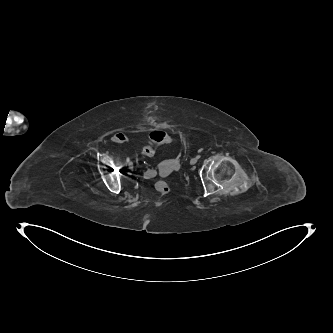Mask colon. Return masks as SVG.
Returning <instances> with one entry per match:
<instances>
[{
  "label": "colon",
  "instance_id": "obj_1",
  "mask_svg": "<svg viewBox=\"0 0 333 333\" xmlns=\"http://www.w3.org/2000/svg\"><path fill=\"white\" fill-rule=\"evenodd\" d=\"M172 141H174V137L171 136L170 134H168L167 132L160 131V130L153 131L150 134L149 142L143 148L142 153L144 156L150 158V157L154 156L156 149L159 146H161L163 144L171 143ZM149 172L152 176H155L158 174L157 170H155V169H150ZM155 190L157 191V193L160 196H165L170 192V186L166 181L159 180L155 184Z\"/></svg>",
  "mask_w": 333,
  "mask_h": 333
}]
</instances>
